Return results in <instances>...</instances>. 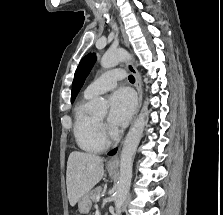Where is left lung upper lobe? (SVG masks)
Masks as SVG:
<instances>
[{
	"label": "left lung upper lobe",
	"mask_w": 223,
	"mask_h": 215,
	"mask_svg": "<svg viewBox=\"0 0 223 215\" xmlns=\"http://www.w3.org/2000/svg\"><path fill=\"white\" fill-rule=\"evenodd\" d=\"M96 60L95 54H88L82 60L80 61L75 75H74V80L72 83V96H71V102L74 101L75 97L77 96L80 88L84 84V81L89 74L94 62Z\"/></svg>",
	"instance_id": "1"
}]
</instances>
